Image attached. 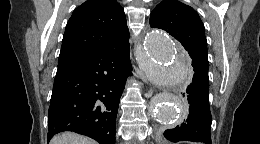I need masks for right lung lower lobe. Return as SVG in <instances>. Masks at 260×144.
I'll list each match as a JSON object with an SVG mask.
<instances>
[{
    "label": "right lung lower lobe",
    "instance_id": "obj_1",
    "mask_svg": "<svg viewBox=\"0 0 260 144\" xmlns=\"http://www.w3.org/2000/svg\"><path fill=\"white\" fill-rule=\"evenodd\" d=\"M131 70L129 44L58 63L48 140L74 131L100 144H115L119 101Z\"/></svg>",
    "mask_w": 260,
    "mask_h": 144
}]
</instances>
